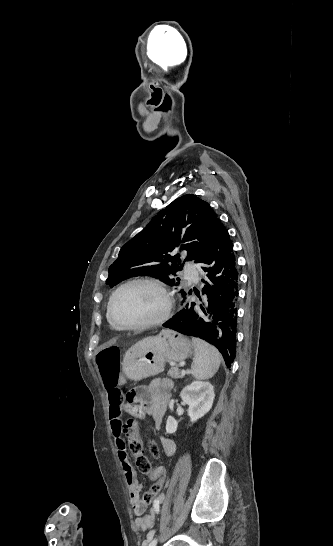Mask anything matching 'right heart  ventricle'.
<instances>
[{"label":"right heart ventricle","instance_id":"1","mask_svg":"<svg viewBox=\"0 0 333 546\" xmlns=\"http://www.w3.org/2000/svg\"><path fill=\"white\" fill-rule=\"evenodd\" d=\"M107 320H108V322H109L110 327H111L112 329H114V330H117V329L113 326V324L111 323V321H110V319H109V317H108V313H107Z\"/></svg>","mask_w":333,"mask_h":546}]
</instances>
